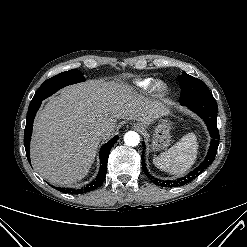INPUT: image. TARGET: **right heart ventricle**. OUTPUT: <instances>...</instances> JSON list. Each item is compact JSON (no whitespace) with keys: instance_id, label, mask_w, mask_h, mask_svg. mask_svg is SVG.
I'll list each match as a JSON object with an SVG mask.
<instances>
[{"instance_id":"1","label":"right heart ventricle","mask_w":247,"mask_h":247,"mask_svg":"<svg viewBox=\"0 0 247 247\" xmlns=\"http://www.w3.org/2000/svg\"><path fill=\"white\" fill-rule=\"evenodd\" d=\"M151 80L150 79H144L139 82H137V86L140 89H146L150 85Z\"/></svg>"}]
</instances>
